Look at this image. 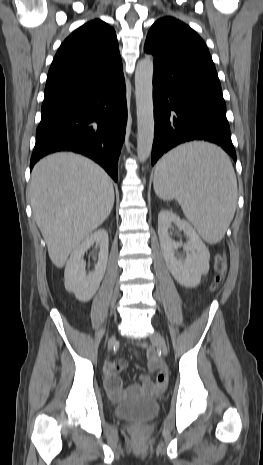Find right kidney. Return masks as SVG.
<instances>
[{
  "instance_id": "1",
  "label": "right kidney",
  "mask_w": 263,
  "mask_h": 465,
  "mask_svg": "<svg viewBox=\"0 0 263 465\" xmlns=\"http://www.w3.org/2000/svg\"><path fill=\"white\" fill-rule=\"evenodd\" d=\"M94 243L100 248L98 262L95 270L86 274V263L83 257ZM108 245L107 231L99 229L85 238L70 255L65 267L64 285L65 289L73 292L79 301L88 302L97 292L107 267Z\"/></svg>"
}]
</instances>
